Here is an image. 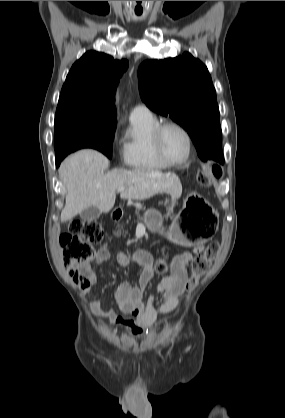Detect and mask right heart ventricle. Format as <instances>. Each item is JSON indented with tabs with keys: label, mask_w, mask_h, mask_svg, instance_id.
<instances>
[{
	"label": "right heart ventricle",
	"mask_w": 285,
	"mask_h": 418,
	"mask_svg": "<svg viewBox=\"0 0 285 418\" xmlns=\"http://www.w3.org/2000/svg\"><path fill=\"white\" fill-rule=\"evenodd\" d=\"M159 123L153 117L130 120V127L123 137L125 163L142 170H161L168 167L157 155L151 136Z\"/></svg>",
	"instance_id": "obj_1"
}]
</instances>
